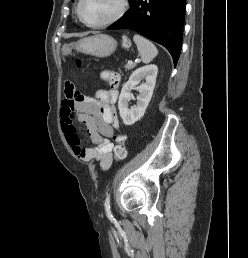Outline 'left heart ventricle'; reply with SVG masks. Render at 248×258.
Here are the masks:
<instances>
[{"mask_svg":"<svg viewBox=\"0 0 248 258\" xmlns=\"http://www.w3.org/2000/svg\"><path fill=\"white\" fill-rule=\"evenodd\" d=\"M119 7V0H84L82 14L90 23H99L111 17Z\"/></svg>","mask_w":248,"mask_h":258,"instance_id":"b2bd125f","label":"left heart ventricle"}]
</instances>
